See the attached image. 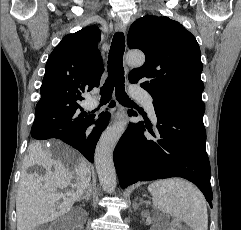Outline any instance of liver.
<instances>
[{"instance_id": "liver-1", "label": "liver", "mask_w": 241, "mask_h": 230, "mask_svg": "<svg viewBox=\"0 0 241 230\" xmlns=\"http://www.w3.org/2000/svg\"><path fill=\"white\" fill-rule=\"evenodd\" d=\"M50 144L60 157L53 158L40 144L28 148L16 198L17 230H33L37 225L67 213L90 185V168L86 160L61 142ZM35 164L45 169L43 176L27 173V169ZM68 186L72 188L70 191L58 192ZM60 199L63 202L57 205Z\"/></svg>"}]
</instances>
